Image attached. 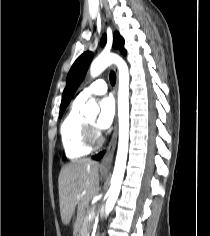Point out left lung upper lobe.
<instances>
[{
	"label": "left lung upper lobe",
	"instance_id": "obj_1",
	"mask_svg": "<svg viewBox=\"0 0 210 236\" xmlns=\"http://www.w3.org/2000/svg\"><path fill=\"white\" fill-rule=\"evenodd\" d=\"M105 43H106V35H103L101 39V45H104ZM114 46L120 48V51L123 54H126V50L123 47L124 40L119 35V33L114 34ZM92 58H93L92 52L89 51L84 52L79 58H77V60L72 65L67 75L66 87L62 94L59 117H62L64 110L68 106L78 86L82 82Z\"/></svg>",
	"mask_w": 210,
	"mask_h": 236
}]
</instances>
